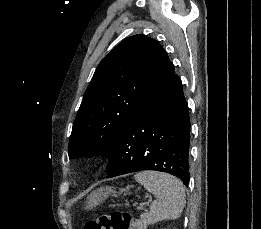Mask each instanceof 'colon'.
<instances>
[{
    "mask_svg": "<svg viewBox=\"0 0 261 229\" xmlns=\"http://www.w3.org/2000/svg\"><path fill=\"white\" fill-rule=\"evenodd\" d=\"M84 229H138L134 217L121 210L103 211L89 220Z\"/></svg>",
    "mask_w": 261,
    "mask_h": 229,
    "instance_id": "5ec220e1",
    "label": "colon"
}]
</instances>
